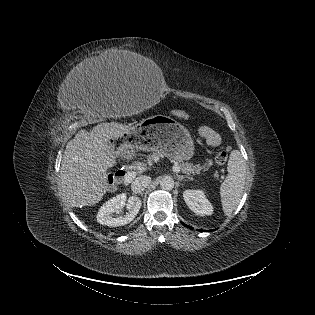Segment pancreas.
<instances>
[{
  "label": "pancreas",
  "mask_w": 315,
  "mask_h": 315,
  "mask_svg": "<svg viewBox=\"0 0 315 315\" xmlns=\"http://www.w3.org/2000/svg\"><path fill=\"white\" fill-rule=\"evenodd\" d=\"M163 155L162 154H159V153H156V154H153L149 157L148 161H152V160H155L159 157H162ZM175 166L179 167L180 170L184 173V174H187V175H194V174H199L202 170L203 171H207L208 168L213 164V162L211 160H209L208 162H206L204 165H193L192 163H188V162H183V163H180V161H176V160H173ZM218 174L216 173L215 174V177H217Z\"/></svg>",
  "instance_id": "pancreas-1"
}]
</instances>
